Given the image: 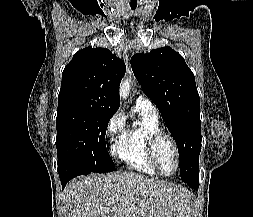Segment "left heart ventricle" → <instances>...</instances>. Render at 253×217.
<instances>
[{
	"instance_id": "1",
	"label": "left heart ventricle",
	"mask_w": 253,
	"mask_h": 217,
	"mask_svg": "<svg viewBox=\"0 0 253 217\" xmlns=\"http://www.w3.org/2000/svg\"><path fill=\"white\" fill-rule=\"evenodd\" d=\"M157 157L160 166L166 174H171L176 168V158L173 147L168 140H162L157 146Z\"/></svg>"
}]
</instances>
